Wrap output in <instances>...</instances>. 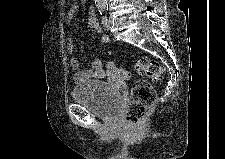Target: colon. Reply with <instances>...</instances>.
Returning a JSON list of instances; mask_svg holds the SVG:
<instances>
[{
	"label": "colon",
	"instance_id": "5ec220e1",
	"mask_svg": "<svg viewBox=\"0 0 225 159\" xmlns=\"http://www.w3.org/2000/svg\"><path fill=\"white\" fill-rule=\"evenodd\" d=\"M135 69L152 80H159L163 76L162 66L156 60L148 57H138ZM106 71L110 77L116 80H127L131 77L128 70L119 67L113 61L107 63ZM155 97V89L149 81H135L132 86V99L126 108V122L132 126H138L151 110Z\"/></svg>",
	"mask_w": 225,
	"mask_h": 159
}]
</instances>
